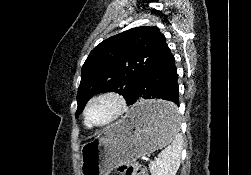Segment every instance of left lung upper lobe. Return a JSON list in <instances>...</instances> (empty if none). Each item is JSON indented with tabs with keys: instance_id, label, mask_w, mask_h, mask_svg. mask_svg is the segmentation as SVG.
Returning <instances> with one entry per match:
<instances>
[{
	"instance_id": "5c2ea615",
	"label": "left lung upper lobe",
	"mask_w": 251,
	"mask_h": 175,
	"mask_svg": "<svg viewBox=\"0 0 251 175\" xmlns=\"http://www.w3.org/2000/svg\"><path fill=\"white\" fill-rule=\"evenodd\" d=\"M166 47L165 36L156 26L132 28L102 41L82 67L76 117L97 93L115 91L128 101Z\"/></svg>"
}]
</instances>
